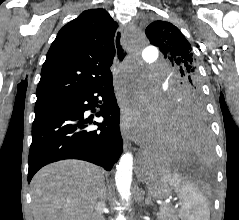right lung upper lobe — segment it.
<instances>
[{
	"label": "right lung upper lobe",
	"mask_w": 239,
	"mask_h": 220,
	"mask_svg": "<svg viewBox=\"0 0 239 220\" xmlns=\"http://www.w3.org/2000/svg\"><path fill=\"white\" fill-rule=\"evenodd\" d=\"M117 28L101 8L84 11L61 28L42 67L35 106L84 93L112 74Z\"/></svg>",
	"instance_id": "cb5924a9"
}]
</instances>
